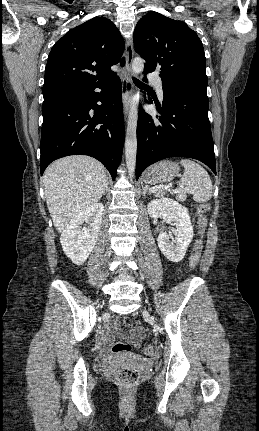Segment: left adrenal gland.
<instances>
[{"label": "left adrenal gland", "instance_id": "1", "mask_svg": "<svg viewBox=\"0 0 259 431\" xmlns=\"http://www.w3.org/2000/svg\"><path fill=\"white\" fill-rule=\"evenodd\" d=\"M142 189H143V195L145 196V195H146V193L148 192V190H147V188H146V187H144L143 185H142Z\"/></svg>", "mask_w": 259, "mask_h": 431}]
</instances>
